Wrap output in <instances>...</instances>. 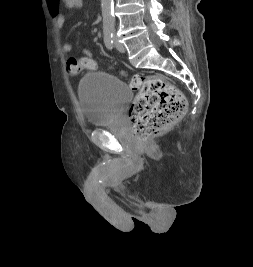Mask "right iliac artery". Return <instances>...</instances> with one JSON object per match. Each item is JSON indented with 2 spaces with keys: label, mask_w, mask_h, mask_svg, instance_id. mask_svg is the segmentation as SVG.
<instances>
[{
  "label": "right iliac artery",
  "mask_w": 253,
  "mask_h": 267,
  "mask_svg": "<svg viewBox=\"0 0 253 267\" xmlns=\"http://www.w3.org/2000/svg\"><path fill=\"white\" fill-rule=\"evenodd\" d=\"M104 43L108 49H113V32L111 29H104Z\"/></svg>",
  "instance_id": "1"
}]
</instances>
